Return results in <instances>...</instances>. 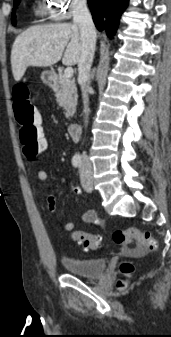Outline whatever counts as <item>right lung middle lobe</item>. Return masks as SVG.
Instances as JSON below:
<instances>
[{"mask_svg":"<svg viewBox=\"0 0 171 337\" xmlns=\"http://www.w3.org/2000/svg\"><path fill=\"white\" fill-rule=\"evenodd\" d=\"M19 2H20V0H14V8H13L12 18H11L13 25L16 24L15 10H16V7L18 6Z\"/></svg>","mask_w":171,"mask_h":337,"instance_id":"dd1d6c3e","label":"right lung middle lobe"}]
</instances>
